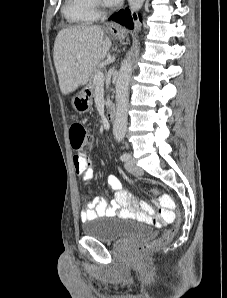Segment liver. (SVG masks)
Here are the masks:
<instances>
[{
	"mask_svg": "<svg viewBox=\"0 0 227 298\" xmlns=\"http://www.w3.org/2000/svg\"><path fill=\"white\" fill-rule=\"evenodd\" d=\"M111 47L99 26H76L58 32L54 43V64L63 94L85 85Z\"/></svg>",
	"mask_w": 227,
	"mask_h": 298,
	"instance_id": "1",
	"label": "liver"
}]
</instances>
